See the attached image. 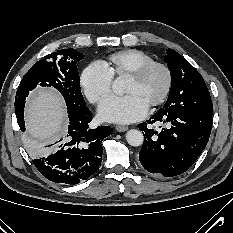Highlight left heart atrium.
<instances>
[{"mask_svg":"<svg viewBox=\"0 0 233 233\" xmlns=\"http://www.w3.org/2000/svg\"><path fill=\"white\" fill-rule=\"evenodd\" d=\"M148 111V105L134 94L110 96L99 106V117L108 122L130 123L142 119Z\"/></svg>","mask_w":233,"mask_h":233,"instance_id":"obj_1","label":"left heart atrium"}]
</instances>
